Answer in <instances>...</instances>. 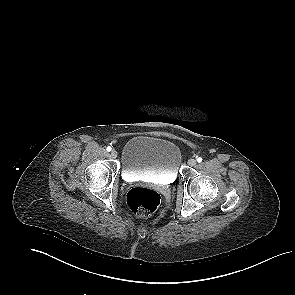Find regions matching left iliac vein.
I'll use <instances>...</instances> for the list:
<instances>
[{
    "instance_id": "1",
    "label": "left iliac vein",
    "mask_w": 295,
    "mask_h": 295,
    "mask_svg": "<svg viewBox=\"0 0 295 295\" xmlns=\"http://www.w3.org/2000/svg\"><path fill=\"white\" fill-rule=\"evenodd\" d=\"M196 163H197L196 160L193 159V158L188 160V165H189V166H192V167H193V166L196 165Z\"/></svg>"
}]
</instances>
